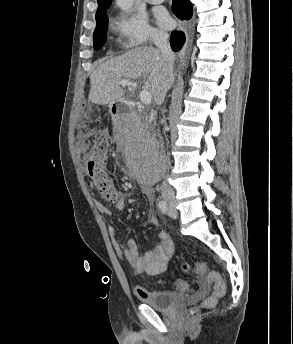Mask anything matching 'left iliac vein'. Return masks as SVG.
I'll use <instances>...</instances> for the list:
<instances>
[{
	"label": "left iliac vein",
	"mask_w": 293,
	"mask_h": 344,
	"mask_svg": "<svg viewBox=\"0 0 293 344\" xmlns=\"http://www.w3.org/2000/svg\"><path fill=\"white\" fill-rule=\"evenodd\" d=\"M168 215H169L171 218H173V219H175V218L177 217V211H176V209L174 208V206H169V208H168Z\"/></svg>",
	"instance_id": "1"
}]
</instances>
